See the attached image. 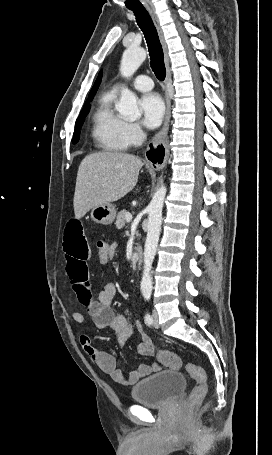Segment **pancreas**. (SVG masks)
<instances>
[{"instance_id": "cf45deb5", "label": "pancreas", "mask_w": 272, "mask_h": 455, "mask_svg": "<svg viewBox=\"0 0 272 455\" xmlns=\"http://www.w3.org/2000/svg\"><path fill=\"white\" fill-rule=\"evenodd\" d=\"M128 212L126 210H121L119 213H118V216H117V219H116V222H115V226L117 229H121L125 226V221H126V214Z\"/></svg>"}]
</instances>
